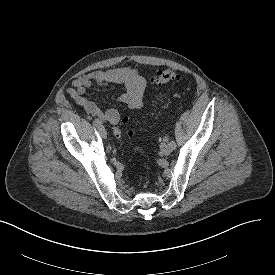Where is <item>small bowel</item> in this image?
<instances>
[{"label": "small bowel", "instance_id": "obj_1", "mask_svg": "<svg viewBox=\"0 0 275 275\" xmlns=\"http://www.w3.org/2000/svg\"><path fill=\"white\" fill-rule=\"evenodd\" d=\"M113 84H122L125 87L124 92L117 97L120 103L130 110H139L143 107L147 82L139 71L132 67L96 70L80 76L72 81L71 87L67 88L66 92L88 116L94 117L100 122L116 124L121 118L117 109L111 108L102 111L87 96V89L92 86Z\"/></svg>", "mask_w": 275, "mask_h": 275}]
</instances>
